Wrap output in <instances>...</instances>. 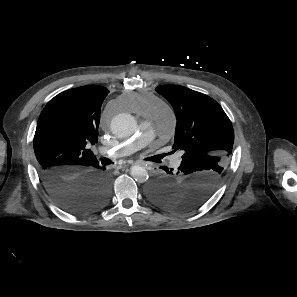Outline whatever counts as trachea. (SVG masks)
Wrapping results in <instances>:
<instances>
[{"instance_id":"obj_1","label":"trachea","mask_w":297,"mask_h":297,"mask_svg":"<svg viewBox=\"0 0 297 297\" xmlns=\"http://www.w3.org/2000/svg\"><path fill=\"white\" fill-rule=\"evenodd\" d=\"M101 163H102V165H109L112 163V161L108 158H102Z\"/></svg>"}]
</instances>
